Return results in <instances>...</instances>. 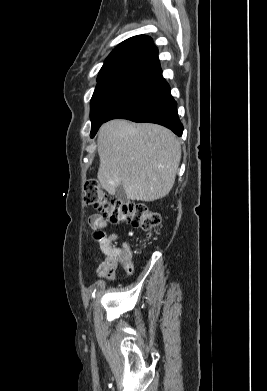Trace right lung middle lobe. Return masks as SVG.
<instances>
[{
	"label": "right lung middle lobe",
	"instance_id": "1",
	"mask_svg": "<svg viewBox=\"0 0 267 391\" xmlns=\"http://www.w3.org/2000/svg\"><path fill=\"white\" fill-rule=\"evenodd\" d=\"M152 79L149 76L133 74H118L98 79L91 99L92 137L115 108Z\"/></svg>",
	"mask_w": 267,
	"mask_h": 391
}]
</instances>
